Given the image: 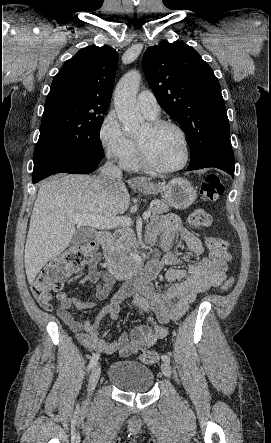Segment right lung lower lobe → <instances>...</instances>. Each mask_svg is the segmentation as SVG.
<instances>
[{
  "label": "right lung lower lobe",
  "mask_w": 271,
  "mask_h": 443,
  "mask_svg": "<svg viewBox=\"0 0 271 443\" xmlns=\"http://www.w3.org/2000/svg\"><path fill=\"white\" fill-rule=\"evenodd\" d=\"M102 158L95 153H75L71 151H53L34 162L32 182L61 172L87 174L93 172Z\"/></svg>",
  "instance_id": "obj_1"
}]
</instances>
